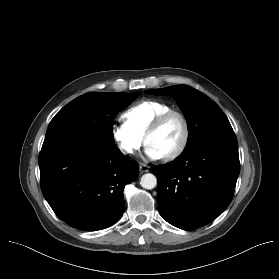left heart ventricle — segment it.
Instances as JSON below:
<instances>
[{"instance_id": "left-heart-ventricle-1", "label": "left heart ventricle", "mask_w": 279, "mask_h": 279, "mask_svg": "<svg viewBox=\"0 0 279 279\" xmlns=\"http://www.w3.org/2000/svg\"><path fill=\"white\" fill-rule=\"evenodd\" d=\"M182 137L183 125L178 117L173 116L148 136L147 145L154 147L163 157L178 147Z\"/></svg>"}]
</instances>
